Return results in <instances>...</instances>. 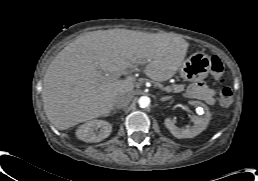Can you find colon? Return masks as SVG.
I'll use <instances>...</instances> for the list:
<instances>
[{
	"label": "colon",
	"mask_w": 258,
	"mask_h": 181,
	"mask_svg": "<svg viewBox=\"0 0 258 181\" xmlns=\"http://www.w3.org/2000/svg\"><path fill=\"white\" fill-rule=\"evenodd\" d=\"M210 69H211V72H212L214 78L216 79V81L219 84H224L225 83V78L223 76L224 66H223L221 60L217 56L211 57ZM232 95H233L232 90L229 87H227V86L222 87L220 90L221 105L224 107L230 106L232 103V99H233Z\"/></svg>",
	"instance_id": "1"
}]
</instances>
